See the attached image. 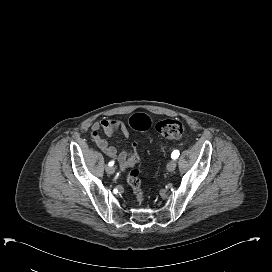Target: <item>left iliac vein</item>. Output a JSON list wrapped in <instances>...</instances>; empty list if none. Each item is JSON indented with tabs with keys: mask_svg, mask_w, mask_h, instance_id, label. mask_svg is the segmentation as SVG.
I'll list each match as a JSON object with an SVG mask.
<instances>
[{
	"mask_svg": "<svg viewBox=\"0 0 272 272\" xmlns=\"http://www.w3.org/2000/svg\"><path fill=\"white\" fill-rule=\"evenodd\" d=\"M176 166H177L176 161H175V160H171V161H169V163L167 164V170H168L169 172H172V171H174V170L176 169Z\"/></svg>",
	"mask_w": 272,
	"mask_h": 272,
	"instance_id": "1",
	"label": "left iliac vein"
}]
</instances>
